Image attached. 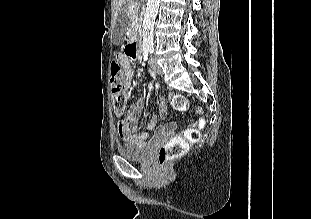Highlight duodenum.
<instances>
[{
	"label": "duodenum",
	"mask_w": 311,
	"mask_h": 219,
	"mask_svg": "<svg viewBox=\"0 0 311 219\" xmlns=\"http://www.w3.org/2000/svg\"><path fill=\"white\" fill-rule=\"evenodd\" d=\"M129 48H135L136 50L141 49V41L140 38L134 35L130 41Z\"/></svg>",
	"instance_id": "obj_1"
}]
</instances>
